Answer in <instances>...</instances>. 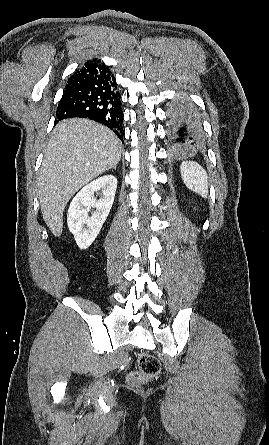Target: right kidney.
<instances>
[{"label":"right kidney","instance_id":"obj_1","mask_svg":"<svg viewBox=\"0 0 269 445\" xmlns=\"http://www.w3.org/2000/svg\"><path fill=\"white\" fill-rule=\"evenodd\" d=\"M116 188L115 176H102L84 186L70 203L68 228L81 249H87L98 236L112 208ZM98 191H102L99 200L94 198V193ZM90 208L95 209L91 216L88 214Z\"/></svg>","mask_w":269,"mask_h":445}]
</instances>
